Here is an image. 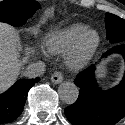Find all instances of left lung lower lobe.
I'll return each instance as SVG.
<instances>
[{
  "label": "left lung lower lobe",
  "instance_id": "left-lung-lower-lobe-1",
  "mask_svg": "<svg viewBox=\"0 0 125 125\" xmlns=\"http://www.w3.org/2000/svg\"><path fill=\"white\" fill-rule=\"evenodd\" d=\"M120 53L125 59V43H120L107 51ZM80 88L75 103L64 112L73 125H115L125 116V74L119 85L102 91L95 78V65L80 72L74 80Z\"/></svg>",
  "mask_w": 125,
  "mask_h": 125
}]
</instances>
